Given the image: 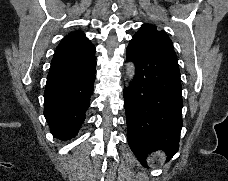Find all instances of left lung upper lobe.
I'll return each mask as SVG.
<instances>
[{"instance_id": "1", "label": "left lung upper lobe", "mask_w": 228, "mask_h": 181, "mask_svg": "<svg viewBox=\"0 0 228 181\" xmlns=\"http://www.w3.org/2000/svg\"><path fill=\"white\" fill-rule=\"evenodd\" d=\"M133 38L141 39L165 49L173 50L172 41L164 31H157L156 26L151 24L142 25Z\"/></svg>"}]
</instances>
